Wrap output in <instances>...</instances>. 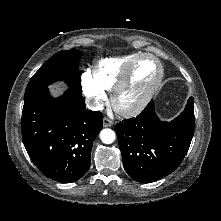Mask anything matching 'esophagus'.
<instances>
[{
  "label": "esophagus",
  "mask_w": 221,
  "mask_h": 221,
  "mask_svg": "<svg viewBox=\"0 0 221 221\" xmlns=\"http://www.w3.org/2000/svg\"><path fill=\"white\" fill-rule=\"evenodd\" d=\"M113 125L112 120H110L109 118L105 117L103 118V126L104 127H110Z\"/></svg>",
  "instance_id": "esophagus-1"
}]
</instances>
